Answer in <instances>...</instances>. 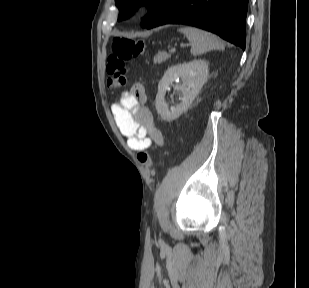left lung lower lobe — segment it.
Wrapping results in <instances>:
<instances>
[{"mask_svg":"<svg viewBox=\"0 0 309 288\" xmlns=\"http://www.w3.org/2000/svg\"><path fill=\"white\" fill-rule=\"evenodd\" d=\"M248 0H170L145 26L187 24L218 34L240 46L246 45L245 20Z\"/></svg>","mask_w":309,"mask_h":288,"instance_id":"0a47b994","label":"left lung lower lobe"}]
</instances>
